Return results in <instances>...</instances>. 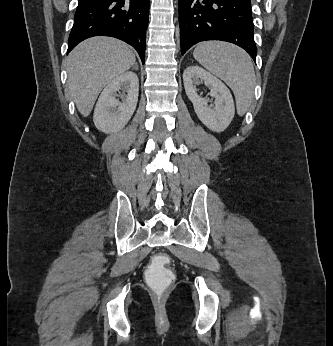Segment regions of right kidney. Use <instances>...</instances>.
I'll use <instances>...</instances> for the list:
<instances>
[{
  "mask_svg": "<svg viewBox=\"0 0 333 346\" xmlns=\"http://www.w3.org/2000/svg\"><path fill=\"white\" fill-rule=\"evenodd\" d=\"M119 90L127 93L122 102L115 98ZM138 92L139 79L134 72H124L113 79L97 101L93 116L96 128L111 133L125 127L136 109Z\"/></svg>",
  "mask_w": 333,
  "mask_h": 346,
  "instance_id": "ca27d5eb",
  "label": "right kidney"
}]
</instances>
